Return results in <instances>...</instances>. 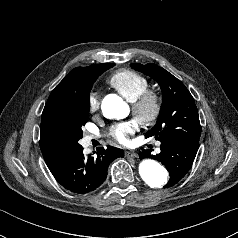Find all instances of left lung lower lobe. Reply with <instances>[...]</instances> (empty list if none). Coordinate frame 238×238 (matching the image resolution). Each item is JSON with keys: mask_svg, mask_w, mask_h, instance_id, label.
I'll return each mask as SVG.
<instances>
[{"mask_svg": "<svg viewBox=\"0 0 238 238\" xmlns=\"http://www.w3.org/2000/svg\"><path fill=\"white\" fill-rule=\"evenodd\" d=\"M198 140L191 139H168L161 141V152L151 155L150 151L140 152V158H153L160 161L169 171L170 179L164 188L178 183L191 168L198 151Z\"/></svg>", "mask_w": 238, "mask_h": 238, "instance_id": "0a47b994", "label": "left lung lower lobe"}]
</instances>
